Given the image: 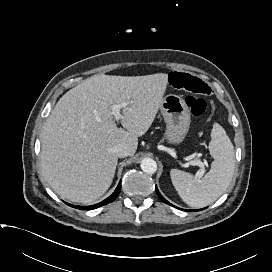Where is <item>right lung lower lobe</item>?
<instances>
[{
  "instance_id": "obj_1",
  "label": "right lung lower lobe",
  "mask_w": 272,
  "mask_h": 272,
  "mask_svg": "<svg viewBox=\"0 0 272 272\" xmlns=\"http://www.w3.org/2000/svg\"><path fill=\"white\" fill-rule=\"evenodd\" d=\"M120 189H121V182L118 184L116 190L113 192V194H112L110 197H108V198L105 199L104 201H102V202H100V203H98V204L92 205V206H74V205H70V204H68V205H70V206H72V207H75V208H78V209H81V210H91V209H96V208H98V207H100V206L106 205V204L112 202L113 200H115L116 197H117V196L119 195V193H120Z\"/></svg>"
}]
</instances>
